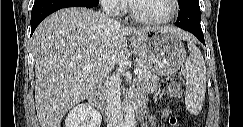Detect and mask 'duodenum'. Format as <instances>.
<instances>
[{
    "label": "duodenum",
    "instance_id": "obj_1",
    "mask_svg": "<svg viewBox=\"0 0 243 127\" xmlns=\"http://www.w3.org/2000/svg\"><path fill=\"white\" fill-rule=\"evenodd\" d=\"M102 88L98 87L93 93H91L88 96V103L92 106H98L102 103ZM145 97L144 96H139L135 103H134V107L135 110L137 111V113L142 114L145 111Z\"/></svg>",
    "mask_w": 243,
    "mask_h": 127
}]
</instances>
